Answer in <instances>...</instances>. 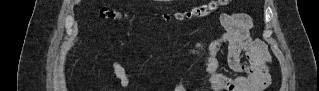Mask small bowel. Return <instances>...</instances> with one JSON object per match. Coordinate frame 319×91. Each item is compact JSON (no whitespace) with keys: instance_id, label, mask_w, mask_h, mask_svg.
Segmentation results:
<instances>
[{"instance_id":"c3829d8e","label":"small bowel","mask_w":319,"mask_h":91,"mask_svg":"<svg viewBox=\"0 0 319 91\" xmlns=\"http://www.w3.org/2000/svg\"><path fill=\"white\" fill-rule=\"evenodd\" d=\"M221 22L226 33L210 44L196 42L191 52L203 57V65L208 83L219 91H261L270 82L268 54L259 39H253L250 31L254 24L244 14H224ZM223 45L229 46L227 64L230 70L242 75L228 76L216 59V54ZM242 53L248 57V63L241 60ZM112 68L122 87L131 83L128 70L114 62Z\"/></svg>"}]
</instances>
